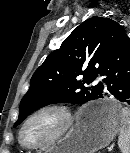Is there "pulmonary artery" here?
<instances>
[{"label": "pulmonary artery", "mask_w": 130, "mask_h": 153, "mask_svg": "<svg viewBox=\"0 0 130 153\" xmlns=\"http://www.w3.org/2000/svg\"><path fill=\"white\" fill-rule=\"evenodd\" d=\"M97 81H101V77H97Z\"/></svg>", "instance_id": "e3ab8cb5"}]
</instances>
